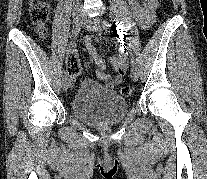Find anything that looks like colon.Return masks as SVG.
Masks as SVG:
<instances>
[{"label": "colon", "mask_w": 207, "mask_h": 179, "mask_svg": "<svg viewBox=\"0 0 207 179\" xmlns=\"http://www.w3.org/2000/svg\"><path fill=\"white\" fill-rule=\"evenodd\" d=\"M30 19L36 28L40 37H45L47 33V24L50 17V5L46 0H32L30 5ZM67 71L71 76H76L80 73V65L76 62L75 56L71 55L67 61ZM120 93L123 96L131 94V88L124 86Z\"/></svg>", "instance_id": "colon-1"}]
</instances>
